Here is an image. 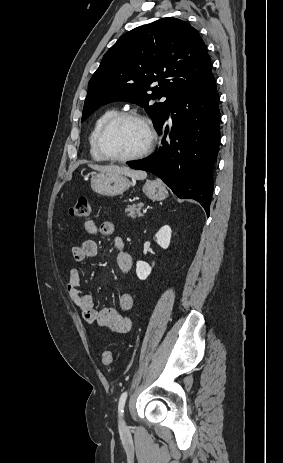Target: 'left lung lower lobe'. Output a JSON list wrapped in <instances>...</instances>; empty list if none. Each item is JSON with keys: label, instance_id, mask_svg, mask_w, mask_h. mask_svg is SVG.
<instances>
[{"label": "left lung lower lobe", "instance_id": "0a47b994", "mask_svg": "<svg viewBox=\"0 0 283 463\" xmlns=\"http://www.w3.org/2000/svg\"><path fill=\"white\" fill-rule=\"evenodd\" d=\"M171 113L173 126L165 125ZM219 96L210 71L181 93L157 128L162 140L157 153L128 163L161 178L181 199H194L210 213L213 169L220 142Z\"/></svg>", "mask_w": 283, "mask_h": 463}]
</instances>
